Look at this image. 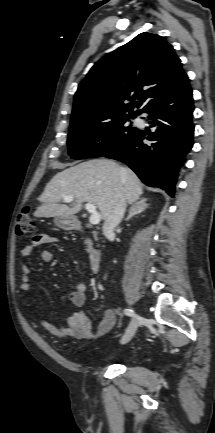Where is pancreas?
I'll list each match as a JSON object with an SVG mask.
<instances>
[{"label": "pancreas", "instance_id": "1", "mask_svg": "<svg viewBox=\"0 0 215 433\" xmlns=\"http://www.w3.org/2000/svg\"><path fill=\"white\" fill-rule=\"evenodd\" d=\"M86 244L88 245V249H87V251H91L92 250V247H91V242L89 241V240H86Z\"/></svg>", "mask_w": 215, "mask_h": 433}]
</instances>
